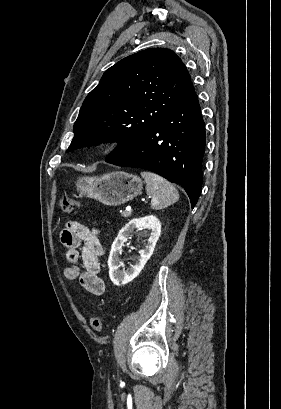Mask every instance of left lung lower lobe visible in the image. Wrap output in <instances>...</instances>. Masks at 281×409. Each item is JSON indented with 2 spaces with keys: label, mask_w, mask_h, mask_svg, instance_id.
Returning <instances> with one entry per match:
<instances>
[{
  "label": "left lung lower lobe",
  "mask_w": 281,
  "mask_h": 409,
  "mask_svg": "<svg viewBox=\"0 0 281 409\" xmlns=\"http://www.w3.org/2000/svg\"><path fill=\"white\" fill-rule=\"evenodd\" d=\"M205 144V124L193 89L187 99L108 163L150 170L180 184L194 208L202 188Z\"/></svg>",
  "instance_id": "left-lung-lower-lobe-1"
}]
</instances>
